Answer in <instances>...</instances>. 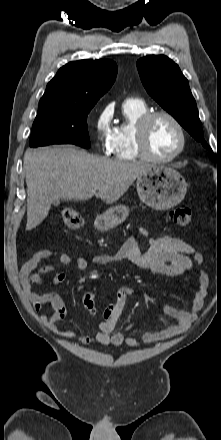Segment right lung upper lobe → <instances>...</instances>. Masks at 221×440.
I'll return each mask as SVG.
<instances>
[{
  "mask_svg": "<svg viewBox=\"0 0 221 440\" xmlns=\"http://www.w3.org/2000/svg\"><path fill=\"white\" fill-rule=\"evenodd\" d=\"M117 65L112 60H80L61 67L47 84L40 102L95 105L115 81Z\"/></svg>",
  "mask_w": 221,
  "mask_h": 440,
  "instance_id": "1",
  "label": "right lung upper lobe"
}]
</instances>
